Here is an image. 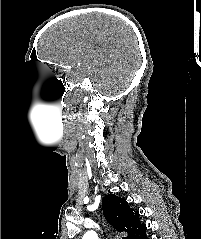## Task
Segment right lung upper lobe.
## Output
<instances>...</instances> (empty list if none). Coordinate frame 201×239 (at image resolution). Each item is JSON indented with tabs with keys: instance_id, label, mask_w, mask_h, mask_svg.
<instances>
[{
	"instance_id": "right-lung-upper-lobe-1",
	"label": "right lung upper lobe",
	"mask_w": 201,
	"mask_h": 239,
	"mask_svg": "<svg viewBox=\"0 0 201 239\" xmlns=\"http://www.w3.org/2000/svg\"><path fill=\"white\" fill-rule=\"evenodd\" d=\"M103 214L118 232H127L122 239H142L146 225L139 221V212L133 211L125 199L109 194L103 199Z\"/></svg>"
}]
</instances>
